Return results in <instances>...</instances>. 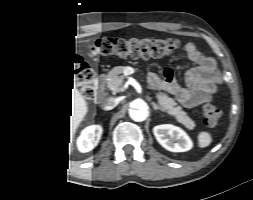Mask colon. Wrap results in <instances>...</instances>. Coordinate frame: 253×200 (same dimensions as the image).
I'll return each instance as SVG.
<instances>
[{
    "instance_id": "5ec220e1",
    "label": "colon",
    "mask_w": 253,
    "mask_h": 200,
    "mask_svg": "<svg viewBox=\"0 0 253 200\" xmlns=\"http://www.w3.org/2000/svg\"><path fill=\"white\" fill-rule=\"evenodd\" d=\"M179 42L176 39H150V38H104L98 44L102 53H141L147 55H170L177 51ZM71 70L77 82L88 83L92 71L88 63L81 56H74L71 60ZM203 121L207 126L214 127L218 124L221 112L213 104L203 107Z\"/></svg>"
}]
</instances>
